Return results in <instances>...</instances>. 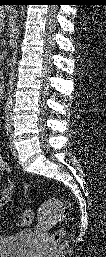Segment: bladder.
I'll return each mask as SVG.
<instances>
[{"label":"bladder","instance_id":"bladder-1","mask_svg":"<svg viewBox=\"0 0 106 257\" xmlns=\"http://www.w3.org/2000/svg\"><path fill=\"white\" fill-rule=\"evenodd\" d=\"M33 232L24 230L14 235L0 238L1 257H27L30 253Z\"/></svg>","mask_w":106,"mask_h":257}]
</instances>
